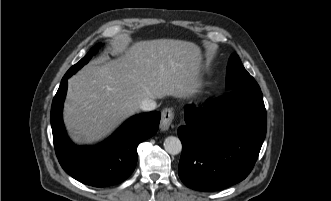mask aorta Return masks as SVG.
<instances>
[{
  "label": "aorta",
  "instance_id": "obj_1",
  "mask_svg": "<svg viewBox=\"0 0 331 201\" xmlns=\"http://www.w3.org/2000/svg\"><path fill=\"white\" fill-rule=\"evenodd\" d=\"M164 149L171 155H177L182 151V144L179 138L169 136L164 140Z\"/></svg>",
  "mask_w": 331,
  "mask_h": 201
}]
</instances>
